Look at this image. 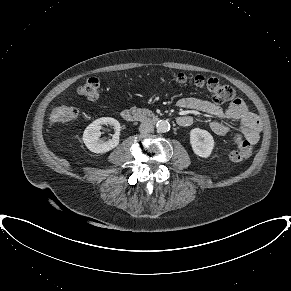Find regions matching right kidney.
I'll use <instances>...</instances> for the list:
<instances>
[{
  "instance_id": "right-kidney-1",
  "label": "right kidney",
  "mask_w": 291,
  "mask_h": 291,
  "mask_svg": "<svg viewBox=\"0 0 291 291\" xmlns=\"http://www.w3.org/2000/svg\"><path fill=\"white\" fill-rule=\"evenodd\" d=\"M103 124H110L114 126L115 130V134L113 135L112 139L106 142H103L99 139L101 134L100 129ZM120 128V123L114 118H99L87 126L83 133V142L91 152L101 154L106 153L118 146Z\"/></svg>"
}]
</instances>
